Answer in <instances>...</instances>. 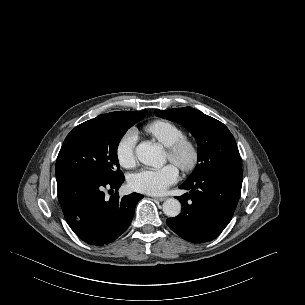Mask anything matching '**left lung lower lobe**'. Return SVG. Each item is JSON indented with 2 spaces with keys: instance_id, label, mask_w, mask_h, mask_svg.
<instances>
[{
  "instance_id": "1",
  "label": "left lung lower lobe",
  "mask_w": 305,
  "mask_h": 305,
  "mask_svg": "<svg viewBox=\"0 0 305 305\" xmlns=\"http://www.w3.org/2000/svg\"><path fill=\"white\" fill-rule=\"evenodd\" d=\"M241 164L211 170L179 188L190 190L177 199L181 213L168 218V226L183 239L204 243L215 239L229 224L237 206L242 186Z\"/></svg>"
}]
</instances>
